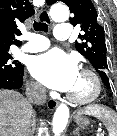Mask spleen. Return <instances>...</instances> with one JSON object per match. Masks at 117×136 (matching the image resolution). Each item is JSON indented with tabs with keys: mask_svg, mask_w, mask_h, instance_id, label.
<instances>
[{
	"mask_svg": "<svg viewBox=\"0 0 117 136\" xmlns=\"http://www.w3.org/2000/svg\"><path fill=\"white\" fill-rule=\"evenodd\" d=\"M78 114H85L96 117L104 123L108 130L109 136H117V114L107 107L89 105L80 110Z\"/></svg>",
	"mask_w": 117,
	"mask_h": 136,
	"instance_id": "3e777b00",
	"label": "spleen"
}]
</instances>
